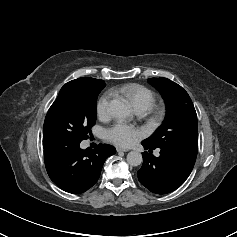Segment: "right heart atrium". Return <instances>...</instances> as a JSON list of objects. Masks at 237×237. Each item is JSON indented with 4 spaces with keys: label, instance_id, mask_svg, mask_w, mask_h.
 I'll use <instances>...</instances> for the list:
<instances>
[{
    "label": "right heart atrium",
    "instance_id": "1",
    "mask_svg": "<svg viewBox=\"0 0 237 237\" xmlns=\"http://www.w3.org/2000/svg\"><path fill=\"white\" fill-rule=\"evenodd\" d=\"M112 94L110 92L104 93L97 102V113L99 117H107L109 114V105Z\"/></svg>",
    "mask_w": 237,
    "mask_h": 237
}]
</instances>
